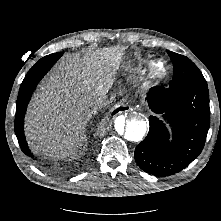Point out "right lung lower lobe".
<instances>
[{
    "label": "right lung lower lobe",
    "instance_id": "right-lung-lower-lobe-1",
    "mask_svg": "<svg viewBox=\"0 0 221 221\" xmlns=\"http://www.w3.org/2000/svg\"><path fill=\"white\" fill-rule=\"evenodd\" d=\"M62 56L61 52L47 55L41 58L27 73L25 76L17 97L16 104V116H15V133L19 142V146L25 155L34 158L30 149L28 148L27 142L24 136V115L27 109L28 102L31 95L42 79V77L47 73V71L52 67V65ZM45 166H48L45 164Z\"/></svg>",
    "mask_w": 221,
    "mask_h": 221
}]
</instances>
